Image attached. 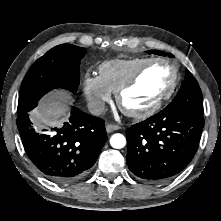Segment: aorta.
<instances>
[{
  "label": "aorta",
  "instance_id": "obj_1",
  "mask_svg": "<svg viewBox=\"0 0 221 221\" xmlns=\"http://www.w3.org/2000/svg\"><path fill=\"white\" fill-rule=\"evenodd\" d=\"M110 145L115 149H121L126 145V138L120 133L113 134L110 138Z\"/></svg>",
  "mask_w": 221,
  "mask_h": 221
}]
</instances>
